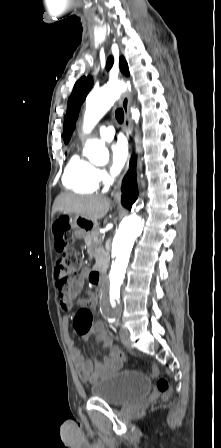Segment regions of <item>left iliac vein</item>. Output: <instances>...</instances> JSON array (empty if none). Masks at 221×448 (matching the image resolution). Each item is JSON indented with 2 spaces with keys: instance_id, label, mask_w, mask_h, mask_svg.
Masks as SVG:
<instances>
[{
  "instance_id": "4c4485c4",
  "label": "left iliac vein",
  "mask_w": 221,
  "mask_h": 448,
  "mask_svg": "<svg viewBox=\"0 0 221 448\" xmlns=\"http://www.w3.org/2000/svg\"><path fill=\"white\" fill-rule=\"evenodd\" d=\"M120 338H121L122 344L126 348L130 349L131 348V341H130V338H129V332H128V330L124 326L121 327Z\"/></svg>"
}]
</instances>
